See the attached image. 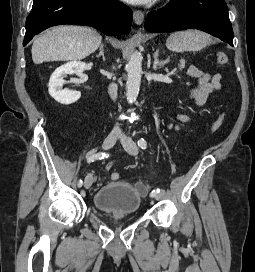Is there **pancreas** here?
Listing matches in <instances>:
<instances>
[{"label":"pancreas","instance_id":"cf45deb5","mask_svg":"<svg viewBox=\"0 0 255 272\" xmlns=\"http://www.w3.org/2000/svg\"><path fill=\"white\" fill-rule=\"evenodd\" d=\"M179 68H180V70H182L184 68V63L183 62L179 65Z\"/></svg>","mask_w":255,"mask_h":272}]
</instances>
